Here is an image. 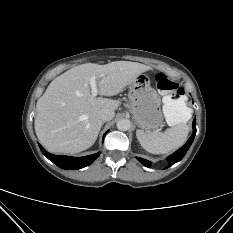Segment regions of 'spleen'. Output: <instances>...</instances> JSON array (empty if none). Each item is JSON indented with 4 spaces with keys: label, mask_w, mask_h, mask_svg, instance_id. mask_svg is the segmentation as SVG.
<instances>
[{
    "label": "spleen",
    "mask_w": 233,
    "mask_h": 233,
    "mask_svg": "<svg viewBox=\"0 0 233 233\" xmlns=\"http://www.w3.org/2000/svg\"><path fill=\"white\" fill-rule=\"evenodd\" d=\"M163 113L171 128L163 133L136 131L141 146L153 154H166L181 147L187 139L189 128L186 123L191 119L192 112L183 99L164 98Z\"/></svg>",
    "instance_id": "1"
}]
</instances>
